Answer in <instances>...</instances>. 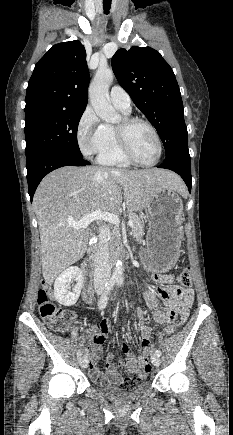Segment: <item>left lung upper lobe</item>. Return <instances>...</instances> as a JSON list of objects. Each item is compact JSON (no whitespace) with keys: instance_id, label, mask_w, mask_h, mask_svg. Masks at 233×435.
<instances>
[{"instance_id":"1","label":"left lung upper lobe","mask_w":233,"mask_h":435,"mask_svg":"<svg viewBox=\"0 0 233 435\" xmlns=\"http://www.w3.org/2000/svg\"><path fill=\"white\" fill-rule=\"evenodd\" d=\"M111 64L120 85L156 128L166 156L187 146L180 89L161 54L150 47L133 46L118 50Z\"/></svg>"}]
</instances>
